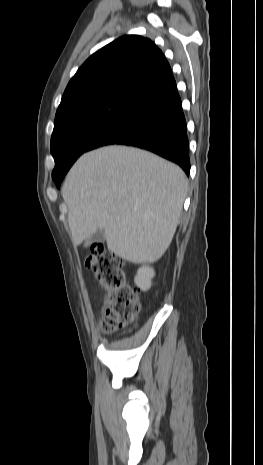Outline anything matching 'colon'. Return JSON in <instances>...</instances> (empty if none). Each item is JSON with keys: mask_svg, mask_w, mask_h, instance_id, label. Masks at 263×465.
Returning <instances> with one entry per match:
<instances>
[{"mask_svg": "<svg viewBox=\"0 0 263 465\" xmlns=\"http://www.w3.org/2000/svg\"><path fill=\"white\" fill-rule=\"evenodd\" d=\"M105 292V313L102 329L106 333L136 322L140 303L136 291L126 278L123 262L102 243H95L85 260Z\"/></svg>", "mask_w": 263, "mask_h": 465, "instance_id": "colon-1", "label": "colon"}]
</instances>
